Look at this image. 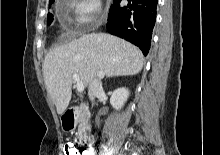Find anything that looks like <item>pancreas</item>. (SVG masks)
<instances>
[{
    "instance_id": "obj_1",
    "label": "pancreas",
    "mask_w": 220,
    "mask_h": 155,
    "mask_svg": "<svg viewBox=\"0 0 220 155\" xmlns=\"http://www.w3.org/2000/svg\"><path fill=\"white\" fill-rule=\"evenodd\" d=\"M78 123H79V130H82L83 128L88 126V119L86 118L84 112H80V114L78 115Z\"/></svg>"
}]
</instances>
